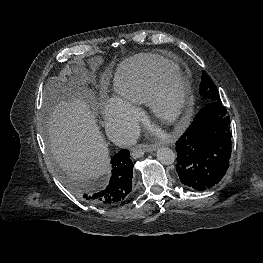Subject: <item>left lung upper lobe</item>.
<instances>
[{
  "mask_svg": "<svg viewBox=\"0 0 263 263\" xmlns=\"http://www.w3.org/2000/svg\"><path fill=\"white\" fill-rule=\"evenodd\" d=\"M199 90L201 96L207 99L208 102H221L217 88L205 71L202 73Z\"/></svg>",
  "mask_w": 263,
  "mask_h": 263,
  "instance_id": "1",
  "label": "left lung upper lobe"
}]
</instances>
